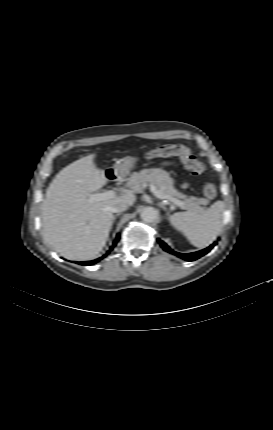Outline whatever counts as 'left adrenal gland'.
Wrapping results in <instances>:
<instances>
[{"label": "left adrenal gland", "mask_w": 273, "mask_h": 430, "mask_svg": "<svg viewBox=\"0 0 273 430\" xmlns=\"http://www.w3.org/2000/svg\"><path fill=\"white\" fill-rule=\"evenodd\" d=\"M165 211H167V208L163 205V204H161L160 205ZM167 215H169V212H167Z\"/></svg>", "instance_id": "obj_1"}]
</instances>
